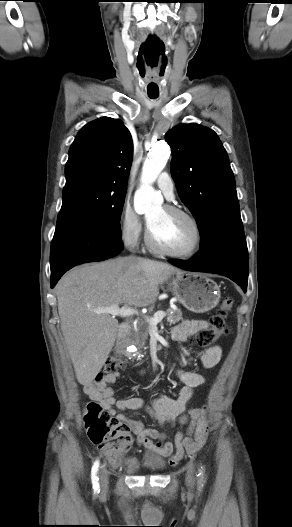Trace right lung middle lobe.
<instances>
[{"mask_svg":"<svg viewBox=\"0 0 292 527\" xmlns=\"http://www.w3.org/2000/svg\"><path fill=\"white\" fill-rule=\"evenodd\" d=\"M126 190L87 183L66 184L57 225L95 228L121 238L120 216Z\"/></svg>","mask_w":292,"mask_h":527,"instance_id":"1","label":"right lung middle lobe"}]
</instances>
